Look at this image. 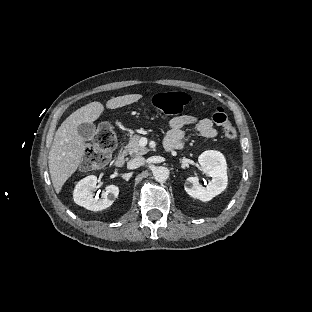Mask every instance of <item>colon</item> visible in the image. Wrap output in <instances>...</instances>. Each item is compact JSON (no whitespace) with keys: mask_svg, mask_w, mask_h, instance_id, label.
<instances>
[{"mask_svg":"<svg viewBox=\"0 0 312 312\" xmlns=\"http://www.w3.org/2000/svg\"><path fill=\"white\" fill-rule=\"evenodd\" d=\"M190 102V97L184 92L159 93L156 98V108L159 112L173 115L180 113ZM209 117L219 125L225 137L229 141H235L237 133L232 126L226 112L217 108L209 113ZM95 149L87 150L82 157V165L85 168H101L108 164L111 153L115 150L117 138L114 128L108 122H102L94 132Z\"/></svg>","mask_w":312,"mask_h":312,"instance_id":"1","label":"colon"}]
</instances>
